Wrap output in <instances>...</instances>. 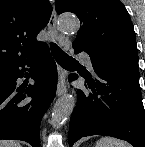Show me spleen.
<instances>
[{
    "label": "spleen",
    "mask_w": 145,
    "mask_h": 147,
    "mask_svg": "<svg viewBox=\"0 0 145 147\" xmlns=\"http://www.w3.org/2000/svg\"><path fill=\"white\" fill-rule=\"evenodd\" d=\"M95 147H127V146L121 140L111 137H104L97 141Z\"/></svg>",
    "instance_id": "3e777b00"
}]
</instances>
